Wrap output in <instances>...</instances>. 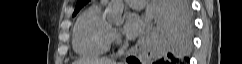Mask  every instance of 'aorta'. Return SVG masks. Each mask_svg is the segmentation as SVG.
I'll use <instances>...</instances> for the list:
<instances>
[{
    "mask_svg": "<svg viewBox=\"0 0 242 64\" xmlns=\"http://www.w3.org/2000/svg\"><path fill=\"white\" fill-rule=\"evenodd\" d=\"M123 9V0H111L105 10L107 19L116 24L122 23Z\"/></svg>",
    "mask_w": 242,
    "mask_h": 64,
    "instance_id": "762f6f07",
    "label": "aorta"
}]
</instances>
